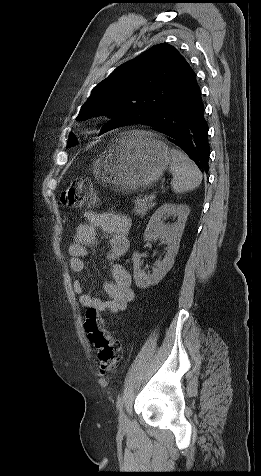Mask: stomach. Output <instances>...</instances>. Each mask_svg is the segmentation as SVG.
Masks as SVG:
<instances>
[{"label": "stomach", "instance_id": "obj_1", "mask_svg": "<svg viewBox=\"0 0 261 476\" xmlns=\"http://www.w3.org/2000/svg\"><path fill=\"white\" fill-rule=\"evenodd\" d=\"M170 164L164 142L151 133L132 131L112 142L93 161L92 170L114 187L134 191L156 182Z\"/></svg>", "mask_w": 261, "mask_h": 476}]
</instances>
